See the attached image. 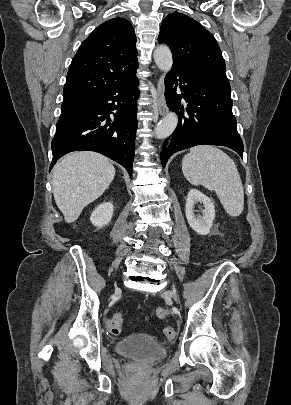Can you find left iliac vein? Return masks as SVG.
<instances>
[{"instance_id":"4c4485c4","label":"left iliac vein","mask_w":291,"mask_h":405,"mask_svg":"<svg viewBox=\"0 0 291 405\" xmlns=\"http://www.w3.org/2000/svg\"><path fill=\"white\" fill-rule=\"evenodd\" d=\"M164 296H169V297L173 298L176 302H178V297H177L176 293L172 290H168V291L164 292Z\"/></svg>"}]
</instances>
